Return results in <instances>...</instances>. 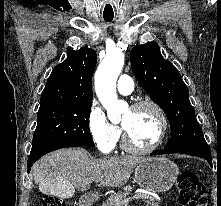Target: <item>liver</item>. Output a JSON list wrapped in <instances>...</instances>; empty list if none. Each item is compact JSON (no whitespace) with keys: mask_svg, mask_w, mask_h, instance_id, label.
Segmentation results:
<instances>
[{"mask_svg":"<svg viewBox=\"0 0 221 206\" xmlns=\"http://www.w3.org/2000/svg\"><path fill=\"white\" fill-rule=\"evenodd\" d=\"M145 159L138 157H103L90 159L82 148L52 152L42 157L32 168L33 180L42 193H49L50 183L63 182L72 196L75 189L85 191L93 181L102 186L124 185L134 168Z\"/></svg>","mask_w":221,"mask_h":206,"instance_id":"1","label":"liver"}]
</instances>
